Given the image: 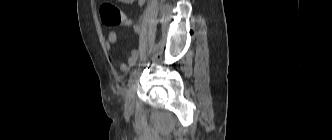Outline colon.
Masks as SVG:
<instances>
[{
	"label": "colon",
	"mask_w": 332,
	"mask_h": 140,
	"mask_svg": "<svg viewBox=\"0 0 332 140\" xmlns=\"http://www.w3.org/2000/svg\"><path fill=\"white\" fill-rule=\"evenodd\" d=\"M100 16L103 24L109 27L130 25V21L126 15L116 5L110 2L101 5Z\"/></svg>",
	"instance_id": "5ec220e1"
}]
</instances>
